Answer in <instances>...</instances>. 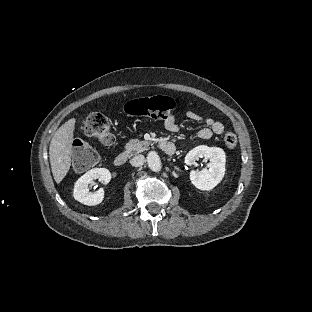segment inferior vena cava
<instances>
[{
    "mask_svg": "<svg viewBox=\"0 0 312 312\" xmlns=\"http://www.w3.org/2000/svg\"><path fill=\"white\" fill-rule=\"evenodd\" d=\"M144 161H145V157L140 154V155L134 156L130 160V163L134 167H140V166H142L144 164Z\"/></svg>",
    "mask_w": 312,
    "mask_h": 312,
    "instance_id": "inferior-vena-cava-1",
    "label": "inferior vena cava"
}]
</instances>
